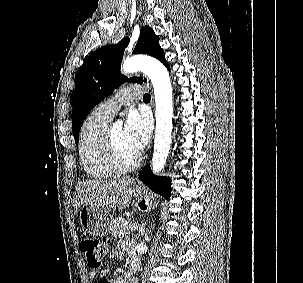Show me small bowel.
I'll return each instance as SVG.
<instances>
[{"instance_id": "obj_1", "label": "small bowel", "mask_w": 303, "mask_h": 283, "mask_svg": "<svg viewBox=\"0 0 303 283\" xmlns=\"http://www.w3.org/2000/svg\"><path fill=\"white\" fill-rule=\"evenodd\" d=\"M126 254L131 261L134 259H137V255L133 250L132 242L131 240H123L119 241L114 249L109 253V257L113 259H120L123 257V255ZM98 277L97 272L92 271L89 274L90 280H96ZM132 277L129 275V273H125L118 277L114 283H131Z\"/></svg>"}]
</instances>
